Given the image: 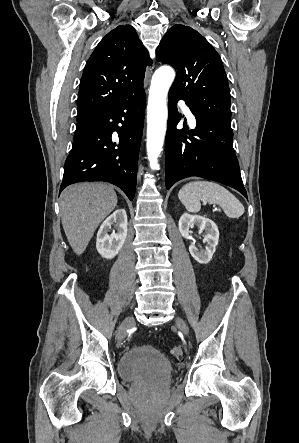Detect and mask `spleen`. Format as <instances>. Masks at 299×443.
Wrapping results in <instances>:
<instances>
[{"label":"spleen","instance_id":"1","mask_svg":"<svg viewBox=\"0 0 299 443\" xmlns=\"http://www.w3.org/2000/svg\"><path fill=\"white\" fill-rule=\"evenodd\" d=\"M178 198L187 211L197 213L201 202L218 204L229 218H239L245 211L243 204L226 188L210 181H195L185 184Z\"/></svg>","mask_w":299,"mask_h":443}]
</instances>
